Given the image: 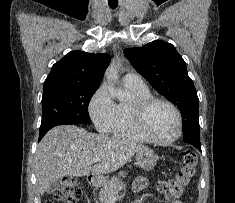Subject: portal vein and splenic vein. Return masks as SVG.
I'll return each instance as SVG.
<instances>
[{
    "instance_id": "obj_1",
    "label": "portal vein and splenic vein",
    "mask_w": 235,
    "mask_h": 203,
    "mask_svg": "<svg viewBox=\"0 0 235 203\" xmlns=\"http://www.w3.org/2000/svg\"><path fill=\"white\" fill-rule=\"evenodd\" d=\"M100 160H101V159H100L99 157H97V158L94 159L95 162H100ZM111 199L114 200V199H115V196H112Z\"/></svg>"
}]
</instances>
